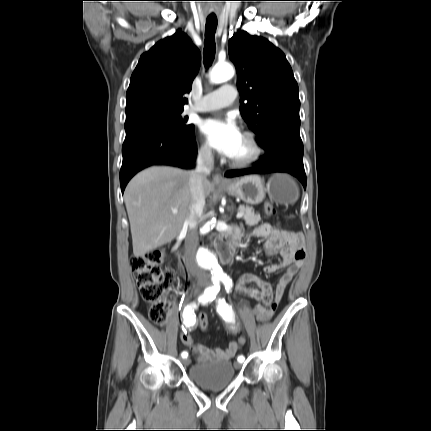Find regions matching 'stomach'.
Segmentation results:
<instances>
[{
    "mask_svg": "<svg viewBox=\"0 0 431 431\" xmlns=\"http://www.w3.org/2000/svg\"><path fill=\"white\" fill-rule=\"evenodd\" d=\"M224 189L232 196L242 199L247 204L257 205L261 203L268 192L271 200L288 204L297 200L299 190L296 183L288 176L282 174L274 175L267 188L257 175L245 176L232 180Z\"/></svg>",
    "mask_w": 431,
    "mask_h": 431,
    "instance_id": "0dacf381",
    "label": "stomach"
}]
</instances>
